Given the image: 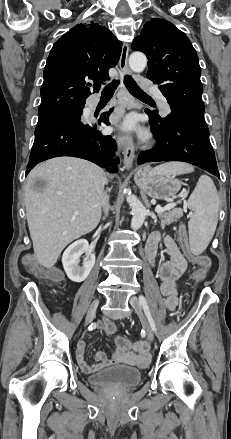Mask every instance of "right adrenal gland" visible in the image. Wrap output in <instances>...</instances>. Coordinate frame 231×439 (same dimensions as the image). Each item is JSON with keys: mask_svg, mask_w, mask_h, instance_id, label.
<instances>
[{"mask_svg": "<svg viewBox=\"0 0 231 439\" xmlns=\"http://www.w3.org/2000/svg\"><path fill=\"white\" fill-rule=\"evenodd\" d=\"M107 215H108V209H106V210L104 211V216H103L102 220H104L105 217H106Z\"/></svg>", "mask_w": 231, "mask_h": 439, "instance_id": "2a0ac1e0", "label": "right adrenal gland"}]
</instances>
